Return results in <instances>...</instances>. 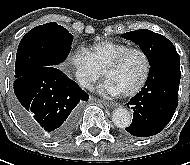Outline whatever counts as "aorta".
Instances as JSON below:
<instances>
[{"instance_id":"1","label":"aorta","mask_w":190,"mask_h":165,"mask_svg":"<svg viewBox=\"0 0 190 165\" xmlns=\"http://www.w3.org/2000/svg\"><path fill=\"white\" fill-rule=\"evenodd\" d=\"M112 121L118 128H126L131 124V114L126 108H117L113 112Z\"/></svg>"}]
</instances>
